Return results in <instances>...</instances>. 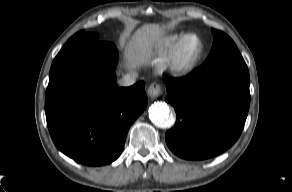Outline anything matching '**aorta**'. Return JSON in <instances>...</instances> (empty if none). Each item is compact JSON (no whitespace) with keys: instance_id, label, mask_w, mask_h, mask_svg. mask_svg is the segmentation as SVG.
<instances>
[{"instance_id":"762f6f07","label":"aorta","mask_w":292,"mask_h":192,"mask_svg":"<svg viewBox=\"0 0 292 192\" xmlns=\"http://www.w3.org/2000/svg\"><path fill=\"white\" fill-rule=\"evenodd\" d=\"M148 113L150 120L160 128H167L173 124L170 109L166 103L155 102L149 107Z\"/></svg>"}]
</instances>
